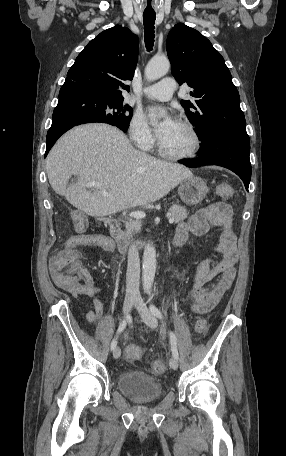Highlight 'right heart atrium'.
Segmentation results:
<instances>
[{"instance_id":"d8ad5b80","label":"right heart atrium","mask_w":286,"mask_h":456,"mask_svg":"<svg viewBox=\"0 0 286 456\" xmlns=\"http://www.w3.org/2000/svg\"><path fill=\"white\" fill-rule=\"evenodd\" d=\"M129 136L133 144L141 150H149L155 143L154 135L141 113L133 115L129 124Z\"/></svg>"}]
</instances>
